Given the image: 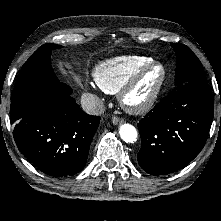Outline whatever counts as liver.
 Here are the masks:
<instances>
[{
	"label": "liver",
	"instance_id": "liver-1",
	"mask_svg": "<svg viewBox=\"0 0 221 221\" xmlns=\"http://www.w3.org/2000/svg\"><path fill=\"white\" fill-rule=\"evenodd\" d=\"M74 80H75L78 84L81 83V80H80V78H79L78 76H74Z\"/></svg>",
	"mask_w": 221,
	"mask_h": 221
}]
</instances>
